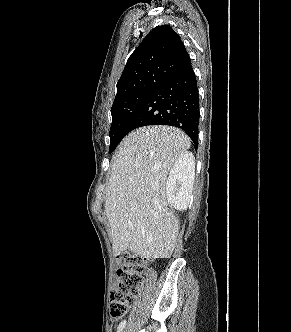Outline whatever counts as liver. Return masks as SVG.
I'll return each instance as SVG.
<instances>
[{"mask_svg":"<svg viewBox=\"0 0 291 332\" xmlns=\"http://www.w3.org/2000/svg\"><path fill=\"white\" fill-rule=\"evenodd\" d=\"M190 146V138L171 126L142 127L121 142L105 200L114 255L129 250L141 257H171L179 221L168 207L166 181Z\"/></svg>","mask_w":291,"mask_h":332,"instance_id":"liver-1","label":"liver"}]
</instances>
